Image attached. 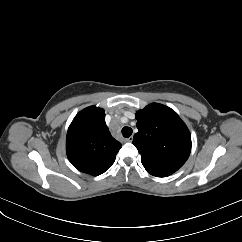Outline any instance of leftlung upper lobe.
Masks as SVG:
<instances>
[{
  "instance_id": "left-lung-upper-lobe-1",
  "label": "left lung upper lobe",
  "mask_w": 242,
  "mask_h": 242,
  "mask_svg": "<svg viewBox=\"0 0 242 242\" xmlns=\"http://www.w3.org/2000/svg\"><path fill=\"white\" fill-rule=\"evenodd\" d=\"M138 132L133 144L148 173L167 177L188 159L191 135L181 118L169 107L151 103L136 113Z\"/></svg>"
}]
</instances>
